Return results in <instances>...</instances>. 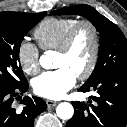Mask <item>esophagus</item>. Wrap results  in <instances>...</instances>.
Masks as SVG:
<instances>
[{"label":"esophagus","mask_w":127,"mask_h":127,"mask_svg":"<svg viewBox=\"0 0 127 127\" xmlns=\"http://www.w3.org/2000/svg\"><path fill=\"white\" fill-rule=\"evenodd\" d=\"M46 104L49 108L54 107L57 105L56 101H52V100H46Z\"/></svg>","instance_id":"34e87169"}]
</instances>
